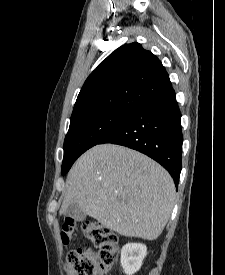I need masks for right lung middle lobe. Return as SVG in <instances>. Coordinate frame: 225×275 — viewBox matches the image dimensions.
I'll use <instances>...</instances> for the list:
<instances>
[{"label": "right lung middle lobe", "instance_id": "1", "mask_svg": "<svg viewBox=\"0 0 225 275\" xmlns=\"http://www.w3.org/2000/svg\"><path fill=\"white\" fill-rule=\"evenodd\" d=\"M128 114L123 111L102 112L70 122L64 141L62 173L68 172L81 154L98 144Z\"/></svg>", "mask_w": 225, "mask_h": 275}]
</instances>
